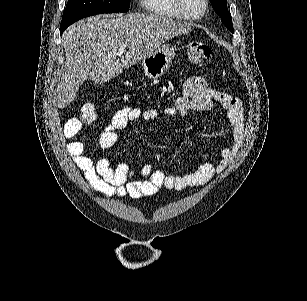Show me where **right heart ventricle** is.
I'll use <instances>...</instances> for the list:
<instances>
[{"label": "right heart ventricle", "instance_id": "right-heart-ventricle-1", "mask_svg": "<svg viewBox=\"0 0 307 301\" xmlns=\"http://www.w3.org/2000/svg\"><path fill=\"white\" fill-rule=\"evenodd\" d=\"M143 4L152 17H180V10L172 9L174 0H143Z\"/></svg>", "mask_w": 307, "mask_h": 301}]
</instances>
